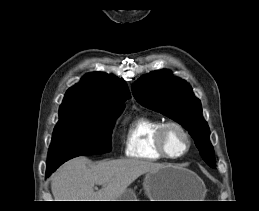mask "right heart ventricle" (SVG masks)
<instances>
[{"mask_svg": "<svg viewBox=\"0 0 259 211\" xmlns=\"http://www.w3.org/2000/svg\"><path fill=\"white\" fill-rule=\"evenodd\" d=\"M162 123L160 118L148 114L133 117L125 129V155L149 161L165 159L156 147V133Z\"/></svg>", "mask_w": 259, "mask_h": 211, "instance_id": "obj_1", "label": "right heart ventricle"}]
</instances>
